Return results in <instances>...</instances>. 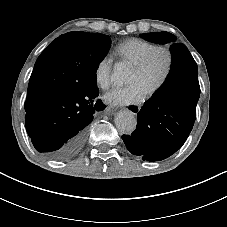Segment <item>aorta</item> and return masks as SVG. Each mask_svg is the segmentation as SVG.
Masks as SVG:
<instances>
[{"mask_svg":"<svg viewBox=\"0 0 227 227\" xmlns=\"http://www.w3.org/2000/svg\"><path fill=\"white\" fill-rule=\"evenodd\" d=\"M128 77V69L123 65H116L113 71L112 80L115 83H122ZM136 117L129 110H122L115 116V125L123 133L131 134L136 128Z\"/></svg>","mask_w":227,"mask_h":227,"instance_id":"obj_1","label":"aorta"}]
</instances>
